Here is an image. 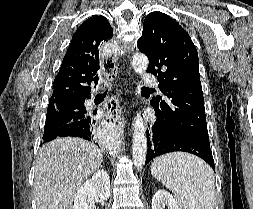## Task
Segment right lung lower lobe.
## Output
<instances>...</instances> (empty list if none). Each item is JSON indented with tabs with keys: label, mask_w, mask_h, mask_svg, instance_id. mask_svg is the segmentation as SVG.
<instances>
[{
	"label": "right lung lower lobe",
	"mask_w": 253,
	"mask_h": 209,
	"mask_svg": "<svg viewBox=\"0 0 253 209\" xmlns=\"http://www.w3.org/2000/svg\"><path fill=\"white\" fill-rule=\"evenodd\" d=\"M84 101L75 104H70L68 106H78L85 109ZM94 124L95 121L90 116H86L81 120L74 121L65 124L57 129L48 130L47 132H44L43 142H49L58 137H67V136L80 137L85 140L92 141L97 136L96 129L93 127Z\"/></svg>",
	"instance_id": "right-lung-lower-lobe-1"
}]
</instances>
